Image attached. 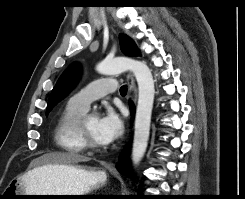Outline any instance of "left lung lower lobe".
<instances>
[{
  "label": "left lung lower lobe",
  "mask_w": 245,
  "mask_h": 199,
  "mask_svg": "<svg viewBox=\"0 0 245 199\" xmlns=\"http://www.w3.org/2000/svg\"><path fill=\"white\" fill-rule=\"evenodd\" d=\"M130 107H131V115L132 117L134 116V105L133 103L130 104ZM117 167L119 169V171L122 173V174H130V164L128 162V151L125 150L120 158H119V162L117 164Z\"/></svg>",
  "instance_id": "left-lung-lower-lobe-1"
}]
</instances>
